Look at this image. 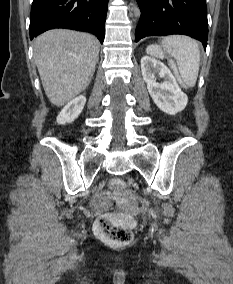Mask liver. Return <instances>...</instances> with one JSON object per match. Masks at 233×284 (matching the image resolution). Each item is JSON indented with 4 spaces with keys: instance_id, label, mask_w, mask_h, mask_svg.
<instances>
[{
    "instance_id": "obj_1",
    "label": "liver",
    "mask_w": 233,
    "mask_h": 284,
    "mask_svg": "<svg viewBox=\"0 0 233 284\" xmlns=\"http://www.w3.org/2000/svg\"><path fill=\"white\" fill-rule=\"evenodd\" d=\"M100 44L90 34L49 30L34 40V59L49 101L63 106L86 89L98 61Z\"/></svg>"
}]
</instances>
